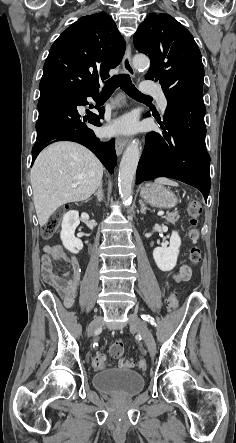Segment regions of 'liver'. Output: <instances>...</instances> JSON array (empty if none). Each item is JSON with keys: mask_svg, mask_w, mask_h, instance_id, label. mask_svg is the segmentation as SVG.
Here are the masks:
<instances>
[{"mask_svg": "<svg viewBox=\"0 0 236 443\" xmlns=\"http://www.w3.org/2000/svg\"><path fill=\"white\" fill-rule=\"evenodd\" d=\"M102 177L103 165L84 146L64 141L45 148L31 169L33 201L40 226L60 206L88 199Z\"/></svg>", "mask_w": 236, "mask_h": 443, "instance_id": "liver-1", "label": "liver"}]
</instances>
